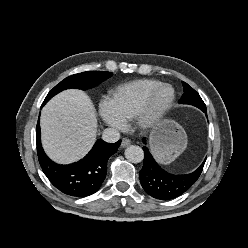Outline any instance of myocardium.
<instances>
[{
    "mask_svg": "<svg viewBox=\"0 0 248 248\" xmlns=\"http://www.w3.org/2000/svg\"><path fill=\"white\" fill-rule=\"evenodd\" d=\"M165 89L170 91V96L165 102L160 103L158 101V97L160 93ZM174 100V88L167 83L159 84L151 91L145 103L137 112L134 118V122L137 128L141 130H148L153 127L156 122L168 112V110L173 105Z\"/></svg>",
    "mask_w": 248,
    "mask_h": 248,
    "instance_id": "1",
    "label": "myocardium"
}]
</instances>
